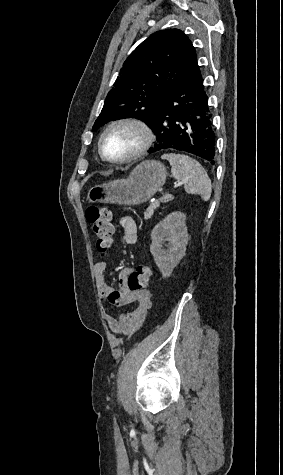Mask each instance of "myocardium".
Returning <instances> with one entry per match:
<instances>
[{"label": "myocardium", "mask_w": 283, "mask_h": 475, "mask_svg": "<svg viewBox=\"0 0 283 475\" xmlns=\"http://www.w3.org/2000/svg\"><path fill=\"white\" fill-rule=\"evenodd\" d=\"M120 126H133L138 128L142 133V140L138 146L129 154L118 157L110 158L103 150V140L114 129ZM154 139V132L152 127L144 120L136 117H122L112 121L101 133L98 140V151L101 158L106 162H132L141 158L151 147Z\"/></svg>", "instance_id": "1"}]
</instances>
